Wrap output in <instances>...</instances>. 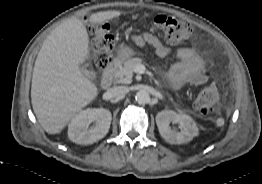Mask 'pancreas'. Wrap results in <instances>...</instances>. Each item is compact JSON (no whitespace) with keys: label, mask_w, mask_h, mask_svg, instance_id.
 I'll return each mask as SVG.
<instances>
[{"label":"pancreas","mask_w":262,"mask_h":184,"mask_svg":"<svg viewBox=\"0 0 262 184\" xmlns=\"http://www.w3.org/2000/svg\"><path fill=\"white\" fill-rule=\"evenodd\" d=\"M142 64L143 60L141 58L128 59L123 65L113 69V77L120 83L130 84L135 68Z\"/></svg>","instance_id":"cf45deb5"}]
</instances>
